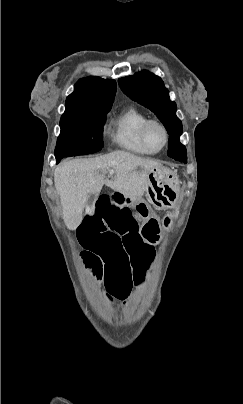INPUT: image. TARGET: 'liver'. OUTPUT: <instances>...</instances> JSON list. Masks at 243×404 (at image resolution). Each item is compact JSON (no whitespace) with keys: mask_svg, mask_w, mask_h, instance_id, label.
Listing matches in <instances>:
<instances>
[{"mask_svg":"<svg viewBox=\"0 0 243 404\" xmlns=\"http://www.w3.org/2000/svg\"><path fill=\"white\" fill-rule=\"evenodd\" d=\"M151 168H161V164L121 150L99 158L69 160L59 164L54 172V182L63 206L65 226L68 230H76L80 226L90 194H99L104 184L125 198L144 196ZM107 170H114L112 180L105 178Z\"/></svg>","mask_w":243,"mask_h":404,"instance_id":"1","label":"liver"}]
</instances>
